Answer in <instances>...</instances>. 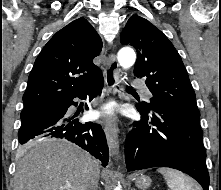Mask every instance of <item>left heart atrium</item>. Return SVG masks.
<instances>
[{
  "label": "left heart atrium",
  "mask_w": 221,
  "mask_h": 190,
  "mask_svg": "<svg viewBox=\"0 0 221 190\" xmlns=\"http://www.w3.org/2000/svg\"><path fill=\"white\" fill-rule=\"evenodd\" d=\"M113 113V108L112 106L108 105L103 107L99 112L98 115L100 116H109Z\"/></svg>",
  "instance_id": "39dd6f15"
}]
</instances>
